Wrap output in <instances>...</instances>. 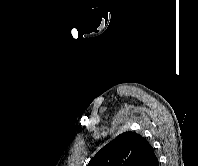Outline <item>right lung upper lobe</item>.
Returning <instances> with one entry per match:
<instances>
[{
    "label": "right lung upper lobe",
    "instance_id": "1",
    "mask_svg": "<svg viewBox=\"0 0 198 166\" xmlns=\"http://www.w3.org/2000/svg\"><path fill=\"white\" fill-rule=\"evenodd\" d=\"M155 159L154 150L144 137L124 132L104 146L87 166H150Z\"/></svg>",
    "mask_w": 198,
    "mask_h": 166
}]
</instances>
